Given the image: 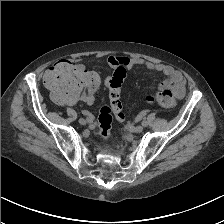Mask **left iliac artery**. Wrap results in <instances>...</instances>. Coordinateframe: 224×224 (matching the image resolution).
I'll use <instances>...</instances> for the list:
<instances>
[{
    "mask_svg": "<svg viewBox=\"0 0 224 224\" xmlns=\"http://www.w3.org/2000/svg\"><path fill=\"white\" fill-rule=\"evenodd\" d=\"M142 126L146 127L148 125V123L146 121H142Z\"/></svg>",
    "mask_w": 224,
    "mask_h": 224,
    "instance_id": "1",
    "label": "left iliac artery"
}]
</instances>
